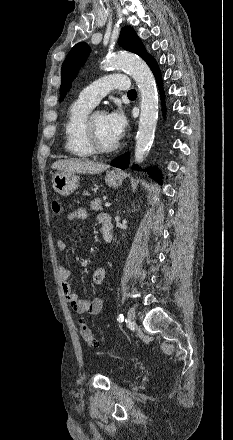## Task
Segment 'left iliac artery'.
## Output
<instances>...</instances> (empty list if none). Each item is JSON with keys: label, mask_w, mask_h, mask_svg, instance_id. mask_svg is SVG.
I'll return each mask as SVG.
<instances>
[{"label": "left iliac artery", "mask_w": 233, "mask_h": 440, "mask_svg": "<svg viewBox=\"0 0 233 440\" xmlns=\"http://www.w3.org/2000/svg\"><path fill=\"white\" fill-rule=\"evenodd\" d=\"M117 320H118L119 322H123V321H124V316H123L122 314H120V315L118 316Z\"/></svg>", "instance_id": "obj_1"}]
</instances>
